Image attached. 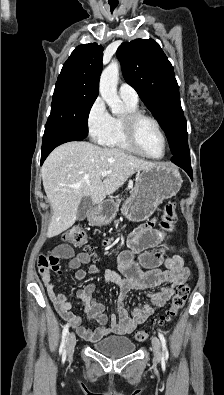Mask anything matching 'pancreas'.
I'll return each mask as SVG.
<instances>
[{
    "instance_id": "obj_1",
    "label": "pancreas",
    "mask_w": 224,
    "mask_h": 395,
    "mask_svg": "<svg viewBox=\"0 0 224 395\" xmlns=\"http://www.w3.org/2000/svg\"><path fill=\"white\" fill-rule=\"evenodd\" d=\"M121 201H122V198H119V197L117 196L116 203L114 204V206H115L117 209H118V207H119Z\"/></svg>"
}]
</instances>
